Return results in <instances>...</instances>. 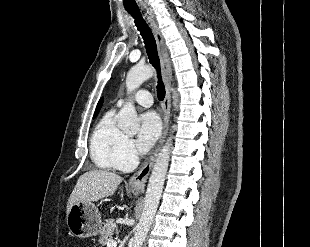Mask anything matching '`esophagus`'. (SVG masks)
<instances>
[{
	"instance_id": "34e87169",
	"label": "esophagus",
	"mask_w": 310,
	"mask_h": 247,
	"mask_svg": "<svg viewBox=\"0 0 310 247\" xmlns=\"http://www.w3.org/2000/svg\"><path fill=\"white\" fill-rule=\"evenodd\" d=\"M151 27L154 33V37L157 44V50L158 55L161 63V69L163 74V80L165 84V98L163 101V130L161 137L159 139V143L153 152V154L149 157V159L142 165V167L130 178L129 186L130 188L137 193H141L145 189V184L148 179V176L150 174V171L154 165V162L156 160V157L159 153V150L165 140L168 126H169V119H170V89H171V79H172V69H171V63L168 57L167 49L164 43L163 35L157 25V23L154 21L152 17L149 18Z\"/></svg>"
}]
</instances>
